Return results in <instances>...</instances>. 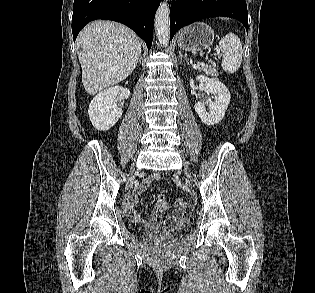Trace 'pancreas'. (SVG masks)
I'll list each match as a JSON object with an SVG mask.
<instances>
[{
	"mask_svg": "<svg viewBox=\"0 0 315 293\" xmlns=\"http://www.w3.org/2000/svg\"><path fill=\"white\" fill-rule=\"evenodd\" d=\"M200 70L212 77L218 76V72L215 66L203 65Z\"/></svg>",
	"mask_w": 315,
	"mask_h": 293,
	"instance_id": "pancreas-1",
	"label": "pancreas"
}]
</instances>
